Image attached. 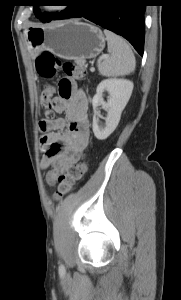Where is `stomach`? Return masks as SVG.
<instances>
[{"instance_id":"1","label":"stomach","mask_w":181,"mask_h":300,"mask_svg":"<svg viewBox=\"0 0 181 300\" xmlns=\"http://www.w3.org/2000/svg\"><path fill=\"white\" fill-rule=\"evenodd\" d=\"M24 36L33 57L47 50L60 58L82 63L99 55L106 40L100 28L78 20L30 27Z\"/></svg>"}]
</instances>
